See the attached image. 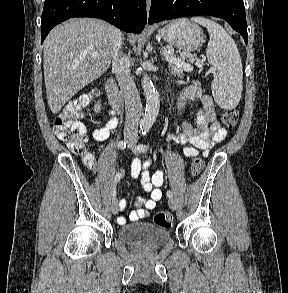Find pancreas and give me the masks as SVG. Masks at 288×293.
I'll return each instance as SVG.
<instances>
[{
    "label": "pancreas",
    "instance_id": "cf45deb5",
    "mask_svg": "<svg viewBox=\"0 0 288 293\" xmlns=\"http://www.w3.org/2000/svg\"><path fill=\"white\" fill-rule=\"evenodd\" d=\"M169 69H170V71H171V73L173 75H177L178 77H182L183 76V71H184L183 68L178 67L177 65L170 63L169 64Z\"/></svg>",
    "mask_w": 288,
    "mask_h": 293
}]
</instances>
